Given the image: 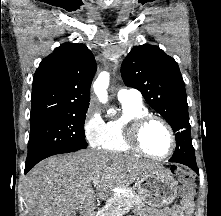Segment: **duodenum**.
Returning a JSON list of instances; mask_svg holds the SVG:
<instances>
[{
    "mask_svg": "<svg viewBox=\"0 0 221 216\" xmlns=\"http://www.w3.org/2000/svg\"><path fill=\"white\" fill-rule=\"evenodd\" d=\"M88 216H96V212L95 211H91V212H89Z\"/></svg>",
    "mask_w": 221,
    "mask_h": 216,
    "instance_id": "obj_1",
    "label": "duodenum"
}]
</instances>
